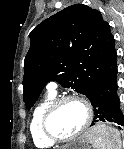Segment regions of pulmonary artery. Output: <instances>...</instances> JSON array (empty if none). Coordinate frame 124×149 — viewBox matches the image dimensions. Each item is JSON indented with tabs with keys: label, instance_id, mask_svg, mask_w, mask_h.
Here are the masks:
<instances>
[{
	"label": "pulmonary artery",
	"instance_id": "pulmonary-artery-1",
	"mask_svg": "<svg viewBox=\"0 0 124 149\" xmlns=\"http://www.w3.org/2000/svg\"><path fill=\"white\" fill-rule=\"evenodd\" d=\"M47 89L51 92V93H55L56 89H57V84L55 82H49L47 85Z\"/></svg>",
	"mask_w": 124,
	"mask_h": 149
}]
</instances>
